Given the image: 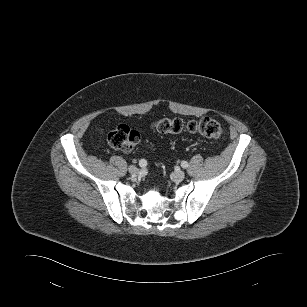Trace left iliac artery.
<instances>
[{"label": "left iliac artery", "mask_w": 307, "mask_h": 307, "mask_svg": "<svg viewBox=\"0 0 307 307\" xmlns=\"http://www.w3.org/2000/svg\"><path fill=\"white\" fill-rule=\"evenodd\" d=\"M181 166H182L183 168H187L189 165H188V162H187V161H182Z\"/></svg>", "instance_id": "left-iliac-artery-1"}]
</instances>
